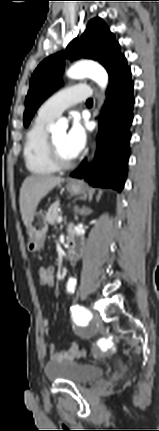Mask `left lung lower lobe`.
<instances>
[{
  "instance_id": "1",
  "label": "left lung lower lobe",
  "mask_w": 159,
  "mask_h": 431,
  "mask_svg": "<svg viewBox=\"0 0 159 431\" xmlns=\"http://www.w3.org/2000/svg\"><path fill=\"white\" fill-rule=\"evenodd\" d=\"M133 81L130 67L125 65L110 80L106 101L99 117L98 149L92 166H81L70 174L84 178L92 186L123 189L129 159V131L133 120Z\"/></svg>"
}]
</instances>
